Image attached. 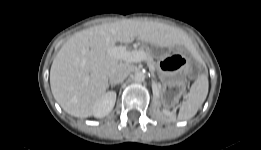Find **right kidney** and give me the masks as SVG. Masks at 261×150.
<instances>
[{
  "instance_id": "1",
  "label": "right kidney",
  "mask_w": 261,
  "mask_h": 150,
  "mask_svg": "<svg viewBox=\"0 0 261 150\" xmlns=\"http://www.w3.org/2000/svg\"><path fill=\"white\" fill-rule=\"evenodd\" d=\"M116 101V92L109 91L104 94V96L96 104L94 110V116L97 118H102L108 115L114 108Z\"/></svg>"
}]
</instances>
